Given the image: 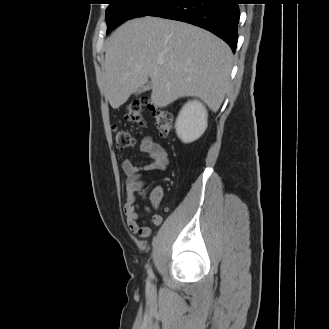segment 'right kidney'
I'll return each mask as SVG.
<instances>
[{"mask_svg": "<svg viewBox=\"0 0 329 329\" xmlns=\"http://www.w3.org/2000/svg\"><path fill=\"white\" fill-rule=\"evenodd\" d=\"M208 113L198 101H189L176 119V134L184 143H190L202 136L207 128Z\"/></svg>", "mask_w": 329, "mask_h": 329, "instance_id": "right-kidney-1", "label": "right kidney"}]
</instances>
